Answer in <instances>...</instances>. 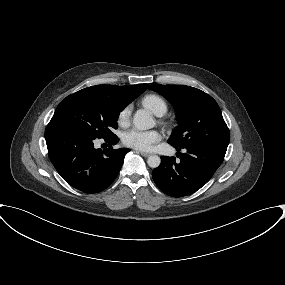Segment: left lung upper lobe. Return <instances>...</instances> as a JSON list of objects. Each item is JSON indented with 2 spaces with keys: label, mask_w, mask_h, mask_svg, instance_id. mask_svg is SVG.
<instances>
[{
  "label": "left lung upper lobe",
  "mask_w": 285,
  "mask_h": 285,
  "mask_svg": "<svg viewBox=\"0 0 285 285\" xmlns=\"http://www.w3.org/2000/svg\"><path fill=\"white\" fill-rule=\"evenodd\" d=\"M174 107L178 128L168 142L173 147L215 145L227 148L229 129L216 101L205 92L185 85H151Z\"/></svg>",
  "instance_id": "1"
}]
</instances>
